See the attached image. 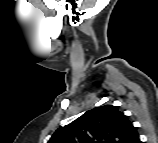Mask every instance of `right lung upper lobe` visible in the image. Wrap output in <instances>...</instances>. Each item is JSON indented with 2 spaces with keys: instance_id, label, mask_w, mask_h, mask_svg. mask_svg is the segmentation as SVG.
I'll return each instance as SVG.
<instances>
[{
  "instance_id": "right-lung-upper-lobe-1",
  "label": "right lung upper lobe",
  "mask_w": 158,
  "mask_h": 143,
  "mask_svg": "<svg viewBox=\"0 0 158 143\" xmlns=\"http://www.w3.org/2000/svg\"><path fill=\"white\" fill-rule=\"evenodd\" d=\"M136 127L118 107L104 105L60 127L48 143H138Z\"/></svg>"
}]
</instances>
